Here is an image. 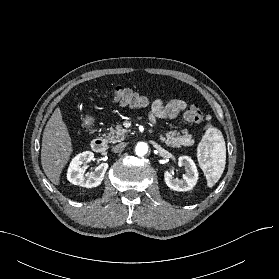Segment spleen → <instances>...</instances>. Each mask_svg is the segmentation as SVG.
<instances>
[{"label":"spleen","instance_id":"3e777b00","mask_svg":"<svg viewBox=\"0 0 279 279\" xmlns=\"http://www.w3.org/2000/svg\"><path fill=\"white\" fill-rule=\"evenodd\" d=\"M198 161L207 186L212 188L220 179L226 164V146L220 130L207 125V130L198 146Z\"/></svg>","mask_w":279,"mask_h":279}]
</instances>
